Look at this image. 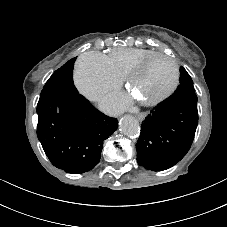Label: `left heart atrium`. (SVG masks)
Masks as SVG:
<instances>
[{"mask_svg": "<svg viewBox=\"0 0 227 227\" xmlns=\"http://www.w3.org/2000/svg\"><path fill=\"white\" fill-rule=\"evenodd\" d=\"M130 103V99L127 95L117 93L109 95L103 101L102 107L108 112H119L126 108Z\"/></svg>", "mask_w": 227, "mask_h": 227, "instance_id": "1", "label": "left heart atrium"}]
</instances>
